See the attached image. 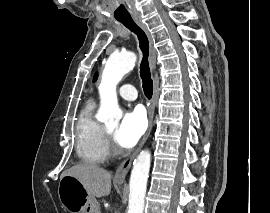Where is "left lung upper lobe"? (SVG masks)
<instances>
[{
    "label": "left lung upper lobe",
    "instance_id": "5c2ea615",
    "mask_svg": "<svg viewBox=\"0 0 270 213\" xmlns=\"http://www.w3.org/2000/svg\"><path fill=\"white\" fill-rule=\"evenodd\" d=\"M97 79V73L95 74V76H94V81Z\"/></svg>",
    "mask_w": 270,
    "mask_h": 213
}]
</instances>
